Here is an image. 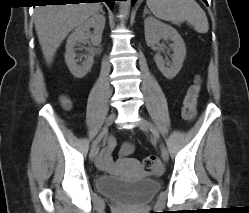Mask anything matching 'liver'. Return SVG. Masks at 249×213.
Instances as JSON below:
<instances>
[{
  "label": "liver",
  "mask_w": 249,
  "mask_h": 213,
  "mask_svg": "<svg viewBox=\"0 0 249 213\" xmlns=\"http://www.w3.org/2000/svg\"><path fill=\"white\" fill-rule=\"evenodd\" d=\"M100 2L36 6L35 30L47 63H51L62 41L71 30L97 14Z\"/></svg>",
  "instance_id": "6515ba94"
}]
</instances>
